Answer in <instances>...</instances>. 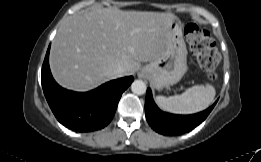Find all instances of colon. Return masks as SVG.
<instances>
[{
  "instance_id": "obj_1",
  "label": "colon",
  "mask_w": 261,
  "mask_h": 162,
  "mask_svg": "<svg viewBox=\"0 0 261 162\" xmlns=\"http://www.w3.org/2000/svg\"><path fill=\"white\" fill-rule=\"evenodd\" d=\"M184 34L199 66L209 79H214L220 61V54L213 46L209 31L190 23L186 25Z\"/></svg>"
}]
</instances>
